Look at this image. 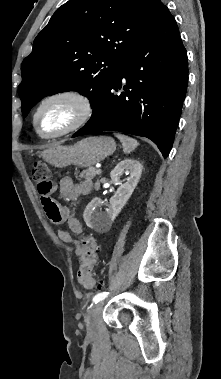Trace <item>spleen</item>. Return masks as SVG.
I'll use <instances>...</instances> for the list:
<instances>
[{"mask_svg":"<svg viewBox=\"0 0 221 379\" xmlns=\"http://www.w3.org/2000/svg\"><path fill=\"white\" fill-rule=\"evenodd\" d=\"M115 136L122 143V145H123V151L126 154L132 152L139 145V143L137 142V140H135L134 138H131L129 136H126V135H123V134H119V133H115Z\"/></svg>","mask_w":221,"mask_h":379,"instance_id":"3e777b00","label":"spleen"}]
</instances>
